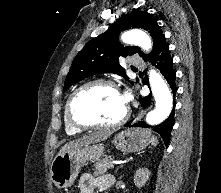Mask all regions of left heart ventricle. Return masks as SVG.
Wrapping results in <instances>:
<instances>
[{
	"mask_svg": "<svg viewBox=\"0 0 221 193\" xmlns=\"http://www.w3.org/2000/svg\"><path fill=\"white\" fill-rule=\"evenodd\" d=\"M122 95L107 86H92L82 91L73 105L75 118L82 123H107L118 120L125 112Z\"/></svg>",
	"mask_w": 221,
	"mask_h": 193,
	"instance_id": "1",
	"label": "left heart ventricle"
}]
</instances>
